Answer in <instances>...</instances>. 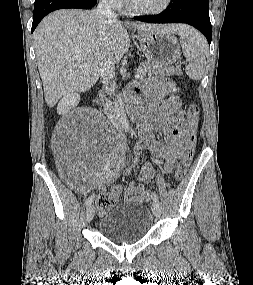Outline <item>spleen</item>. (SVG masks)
<instances>
[{
	"mask_svg": "<svg viewBox=\"0 0 253 285\" xmlns=\"http://www.w3.org/2000/svg\"><path fill=\"white\" fill-rule=\"evenodd\" d=\"M179 35L183 55L189 63L185 69L186 74L190 79L199 81L206 67L207 41L201 33L188 26Z\"/></svg>",
	"mask_w": 253,
	"mask_h": 285,
	"instance_id": "spleen-1",
	"label": "spleen"
}]
</instances>
